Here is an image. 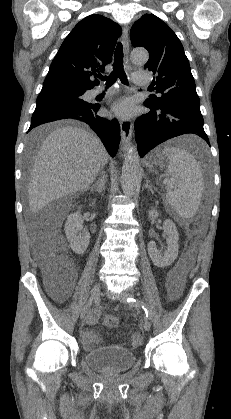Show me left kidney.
Masks as SVG:
<instances>
[{
  "label": "left kidney",
  "mask_w": 231,
  "mask_h": 419,
  "mask_svg": "<svg viewBox=\"0 0 231 419\" xmlns=\"http://www.w3.org/2000/svg\"><path fill=\"white\" fill-rule=\"evenodd\" d=\"M158 216L159 213L156 210H149L148 217L150 219L157 218ZM163 228L165 233L168 235V249L165 251L164 255L159 253L154 241H150L148 243V254L152 262L158 267H165L172 264V262L177 258L179 250V234L175 223L172 220L167 219L163 223Z\"/></svg>",
  "instance_id": "1"
}]
</instances>
